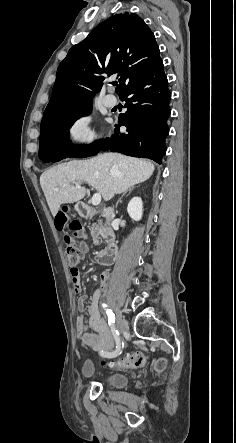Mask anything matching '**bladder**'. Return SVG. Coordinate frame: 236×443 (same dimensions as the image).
I'll use <instances>...</instances> for the list:
<instances>
[{
	"label": "bladder",
	"mask_w": 236,
	"mask_h": 443,
	"mask_svg": "<svg viewBox=\"0 0 236 443\" xmlns=\"http://www.w3.org/2000/svg\"><path fill=\"white\" fill-rule=\"evenodd\" d=\"M83 374L86 378H92L95 375L92 365L87 362L83 367ZM103 383L114 387L124 388L128 384L126 376L118 373H106L102 376Z\"/></svg>",
	"instance_id": "1"
}]
</instances>
